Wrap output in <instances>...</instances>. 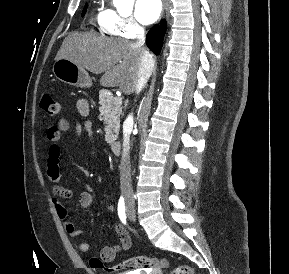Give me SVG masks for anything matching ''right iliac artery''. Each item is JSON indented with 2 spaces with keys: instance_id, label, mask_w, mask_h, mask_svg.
Returning a JSON list of instances; mask_svg holds the SVG:
<instances>
[{
  "instance_id": "obj_1",
  "label": "right iliac artery",
  "mask_w": 289,
  "mask_h": 274,
  "mask_svg": "<svg viewBox=\"0 0 289 274\" xmlns=\"http://www.w3.org/2000/svg\"><path fill=\"white\" fill-rule=\"evenodd\" d=\"M118 216L123 224H126V213L124 198L121 196L118 202Z\"/></svg>"
}]
</instances>
